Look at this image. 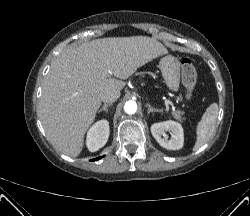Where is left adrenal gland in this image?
<instances>
[{
    "label": "left adrenal gland",
    "instance_id": "1",
    "mask_svg": "<svg viewBox=\"0 0 250 216\" xmlns=\"http://www.w3.org/2000/svg\"><path fill=\"white\" fill-rule=\"evenodd\" d=\"M146 106L148 107V114L151 113V112H161L162 110L161 109H156V108H153L150 104H146Z\"/></svg>",
    "mask_w": 250,
    "mask_h": 216
}]
</instances>
